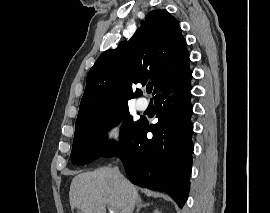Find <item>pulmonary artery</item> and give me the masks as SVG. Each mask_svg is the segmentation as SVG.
I'll return each instance as SVG.
<instances>
[{"label": "pulmonary artery", "mask_w": 270, "mask_h": 213, "mask_svg": "<svg viewBox=\"0 0 270 213\" xmlns=\"http://www.w3.org/2000/svg\"><path fill=\"white\" fill-rule=\"evenodd\" d=\"M147 106H148V103L145 99H139L136 103L137 109L141 111L145 110Z\"/></svg>", "instance_id": "e3ab8cb5"}]
</instances>
